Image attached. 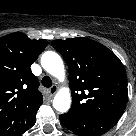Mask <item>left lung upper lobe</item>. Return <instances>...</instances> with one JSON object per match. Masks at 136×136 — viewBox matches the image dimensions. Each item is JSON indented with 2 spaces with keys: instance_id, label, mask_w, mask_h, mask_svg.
I'll use <instances>...</instances> for the list:
<instances>
[{
  "instance_id": "5c2ea615",
  "label": "left lung upper lobe",
  "mask_w": 136,
  "mask_h": 136,
  "mask_svg": "<svg viewBox=\"0 0 136 136\" xmlns=\"http://www.w3.org/2000/svg\"><path fill=\"white\" fill-rule=\"evenodd\" d=\"M51 44L68 65L72 108L63 115L119 120L128 100L127 78L120 59L88 38L54 40Z\"/></svg>"
}]
</instances>
